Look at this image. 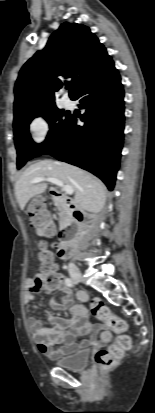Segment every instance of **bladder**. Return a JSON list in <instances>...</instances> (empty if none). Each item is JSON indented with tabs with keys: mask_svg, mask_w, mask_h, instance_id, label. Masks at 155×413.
Instances as JSON below:
<instances>
[{
	"mask_svg": "<svg viewBox=\"0 0 155 413\" xmlns=\"http://www.w3.org/2000/svg\"><path fill=\"white\" fill-rule=\"evenodd\" d=\"M89 350H82L73 355L62 357L56 360L55 364L70 371L84 370L89 361Z\"/></svg>",
	"mask_w": 155,
	"mask_h": 413,
	"instance_id": "31cf9c89",
	"label": "bladder"
}]
</instances>
